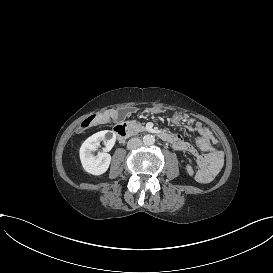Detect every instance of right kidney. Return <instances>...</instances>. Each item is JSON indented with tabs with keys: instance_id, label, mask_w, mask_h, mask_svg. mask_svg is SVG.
<instances>
[{
	"instance_id": "ca27d5eb",
	"label": "right kidney",
	"mask_w": 273,
	"mask_h": 273,
	"mask_svg": "<svg viewBox=\"0 0 273 273\" xmlns=\"http://www.w3.org/2000/svg\"><path fill=\"white\" fill-rule=\"evenodd\" d=\"M105 142V151H109L116 142V135L111 130L97 132L90 136L80 148V160L84 170L93 176L105 174L111 163V155L104 152L94 154L100 142Z\"/></svg>"
}]
</instances>
